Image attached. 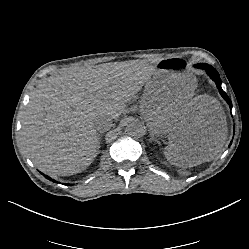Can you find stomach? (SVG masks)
<instances>
[{
  "label": "stomach",
  "mask_w": 249,
  "mask_h": 249,
  "mask_svg": "<svg viewBox=\"0 0 249 249\" xmlns=\"http://www.w3.org/2000/svg\"><path fill=\"white\" fill-rule=\"evenodd\" d=\"M176 57L160 60L146 84L142 112L150 128L158 135L173 134L182 124L183 113L194 95L196 79L185 71Z\"/></svg>",
  "instance_id": "0dacf381"
}]
</instances>
